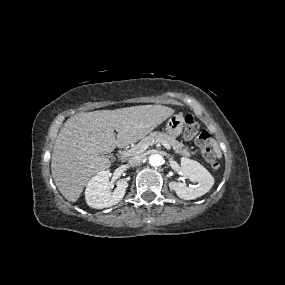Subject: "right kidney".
Wrapping results in <instances>:
<instances>
[{"mask_svg":"<svg viewBox=\"0 0 285 285\" xmlns=\"http://www.w3.org/2000/svg\"><path fill=\"white\" fill-rule=\"evenodd\" d=\"M111 173L108 170L100 171L91 178L86 186L85 199L87 204L96 209H103L119 203L125 195L128 183L125 180H118L116 188L109 189V177Z\"/></svg>","mask_w":285,"mask_h":285,"instance_id":"ca27d5eb","label":"right kidney"}]
</instances>
